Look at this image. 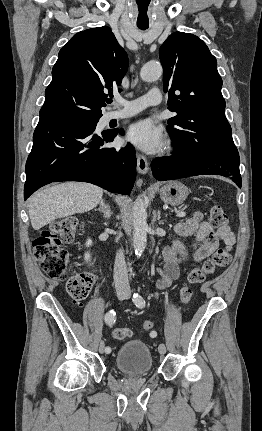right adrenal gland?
I'll return each mask as SVG.
<instances>
[{"label":"right adrenal gland","mask_w":262,"mask_h":431,"mask_svg":"<svg viewBox=\"0 0 262 431\" xmlns=\"http://www.w3.org/2000/svg\"><path fill=\"white\" fill-rule=\"evenodd\" d=\"M95 210L101 211L103 213V216H104L105 220L110 219V217L112 215L111 208H110L109 204L105 202L104 199H102L100 201V207L98 209H95Z\"/></svg>","instance_id":"1"}]
</instances>
